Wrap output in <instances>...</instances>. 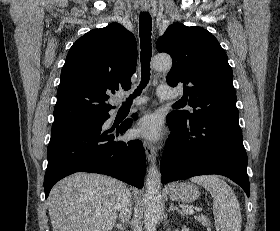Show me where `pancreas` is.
<instances>
[{
    "instance_id": "obj_1",
    "label": "pancreas",
    "mask_w": 280,
    "mask_h": 231,
    "mask_svg": "<svg viewBox=\"0 0 280 231\" xmlns=\"http://www.w3.org/2000/svg\"><path fill=\"white\" fill-rule=\"evenodd\" d=\"M195 219H197V221H200V223H202V225H205V227H207L208 231H211V221L209 219V217H207V215H194Z\"/></svg>"
}]
</instances>
